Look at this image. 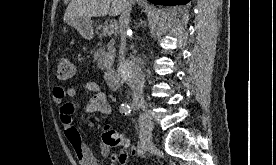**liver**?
<instances>
[{"instance_id":"obj_1","label":"liver","mask_w":276,"mask_h":165,"mask_svg":"<svg viewBox=\"0 0 276 165\" xmlns=\"http://www.w3.org/2000/svg\"><path fill=\"white\" fill-rule=\"evenodd\" d=\"M123 3V0H72L65 11L64 22L70 17L117 16Z\"/></svg>"}]
</instances>
